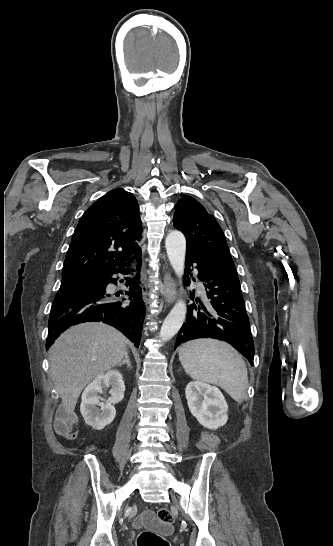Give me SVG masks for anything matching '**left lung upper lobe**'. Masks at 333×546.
Segmentation results:
<instances>
[{
	"label": "left lung upper lobe",
	"instance_id": "obj_1",
	"mask_svg": "<svg viewBox=\"0 0 333 546\" xmlns=\"http://www.w3.org/2000/svg\"><path fill=\"white\" fill-rule=\"evenodd\" d=\"M173 225L186 237L187 249L220 269H235L225 235L216 219L190 196L175 205Z\"/></svg>",
	"mask_w": 333,
	"mask_h": 546
}]
</instances>
